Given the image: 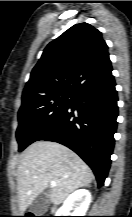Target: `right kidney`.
Returning a JSON list of instances; mask_svg holds the SVG:
<instances>
[{
  "instance_id": "1",
  "label": "right kidney",
  "mask_w": 132,
  "mask_h": 217,
  "mask_svg": "<svg viewBox=\"0 0 132 217\" xmlns=\"http://www.w3.org/2000/svg\"><path fill=\"white\" fill-rule=\"evenodd\" d=\"M91 203V194L86 189L73 192L57 211L56 216H85ZM73 212H70V211Z\"/></svg>"
}]
</instances>
